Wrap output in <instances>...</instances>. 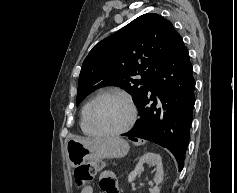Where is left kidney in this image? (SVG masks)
Listing matches in <instances>:
<instances>
[{"label": "left kidney", "mask_w": 237, "mask_h": 193, "mask_svg": "<svg viewBox=\"0 0 237 193\" xmlns=\"http://www.w3.org/2000/svg\"><path fill=\"white\" fill-rule=\"evenodd\" d=\"M145 163H148L152 166H155L156 173L154 176V182L156 183V186H154L150 193H160V189L158 185L162 183L163 181V165H162V159L159 154H155L152 152H148L144 154L139 162L137 163L135 169L128 175V182L132 183L137 176H139L142 172L143 165Z\"/></svg>", "instance_id": "1"}]
</instances>
